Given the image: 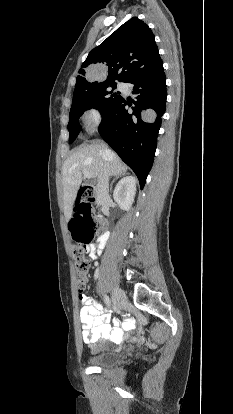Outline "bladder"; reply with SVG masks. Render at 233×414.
I'll return each mask as SVG.
<instances>
[{"label":"bladder","mask_w":233,"mask_h":414,"mask_svg":"<svg viewBox=\"0 0 233 414\" xmlns=\"http://www.w3.org/2000/svg\"><path fill=\"white\" fill-rule=\"evenodd\" d=\"M119 354L112 351L100 352L89 357L88 363L95 367H110L119 361Z\"/></svg>","instance_id":"obj_1"}]
</instances>
